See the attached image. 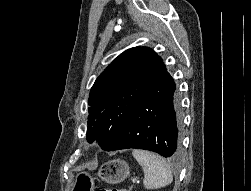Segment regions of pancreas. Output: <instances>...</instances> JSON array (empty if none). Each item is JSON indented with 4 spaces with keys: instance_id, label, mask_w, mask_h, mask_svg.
<instances>
[{
    "instance_id": "1",
    "label": "pancreas",
    "mask_w": 251,
    "mask_h": 191,
    "mask_svg": "<svg viewBox=\"0 0 251 191\" xmlns=\"http://www.w3.org/2000/svg\"><path fill=\"white\" fill-rule=\"evenodd\" d=\"M125 191H131V189H125Z\"/></svg>"
}]
</instances>
